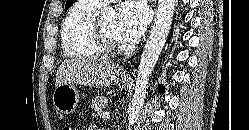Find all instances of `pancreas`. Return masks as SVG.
<instances>
[{"mask_svg": "<svg viewBox=\"0 0 249 130\" xmlns=\"http://www.w3.org/2000/svg\"><path fill=\"white\" fill-rule=\"evenodd\" d=\"M105 97L103 96H97L92 100L91 104V110H92V116L94 118H98L101 114L102 109H105L107 107V104L104 102Z\"/></svg>", "mask_w": 249, "mask_h": 130, "instance_id": "obj_1", "label": "pancreas"}]
</instances>
